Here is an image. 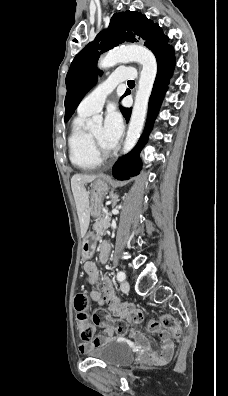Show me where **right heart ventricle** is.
<instances>
[{"label": "right heart ventricle", "instance_id": "1", "mask_svg": "<svg viewBox=\"0 0 228 396\" xmlns=\"http://www.w3.org/2000/svg\"><path fill=\"white\" fill-rule=\"evenodd\" d=\"M89 114L78 113L72 123L68 137V147L71 162L78 168L90 171L97 168L101 160L95 154L85 121Z\"/></svg>", "mask_w": 228, "mask_h": 396}]
</instances>
